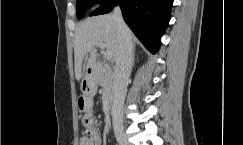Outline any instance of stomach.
<instances>
[{"label": "stomach", "mask_w": 243, "mask_h": 145, "mask_svg": "<svg viewBox=\"0 0 243 145\" xmlns=\"http://www.w3.org/2000/svg\"><path fill=\"white\" fill-rule=\"evenodd\" d=\"M95 86V79L93 78H88L82 82L81 90L83 95L80 98L79 106L83 108L84 111L86 110L85 108L92 103V98H90V96L95 91Z\"/></svg>", "instance_id": "1"}]
</instances>
